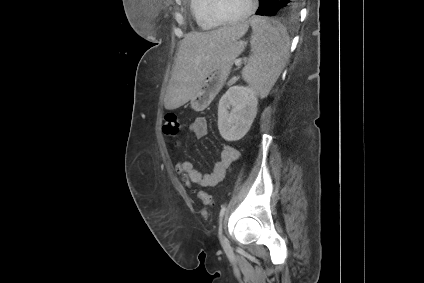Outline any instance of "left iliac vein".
Segmentation results:
<instances>
[{"label": "left iliac vein", "mask_w": 424, "mask_h": 283, "mask_svg": "<svg viewBox=\"0 0 424 283\" xmlns=\"http://www.w3.org/2000/svg\"><path fill=\"white\" fill-rule=\"evenodd\" d=\"M219 238H220V242H221L223 248L228 249L229 243H228L227 239L225 238V236L223 235L222 229H220V231H219Z\"/></svg>", "instance_id": "1"}]
</instances>
